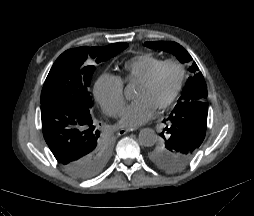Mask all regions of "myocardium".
I'll list each match as a JSON object with an SVG mask.
<instances>
[{
	"label": "myocardium",
	"instance_id": "obj_1",
	"mask_svg": "<svg viewBox=\"0 0 254 216\" xmlns=\"http://www.w3.org/2000/svg\"><path fill=\"white\" fill-rule=\"evenodd\" d=\"M167 66L176 67V69L178 71V78H177V82H176V85L174 87L172 94L165 102H163L162 104H160L157 107L158 110H164V109L168 108L169 106H171L174 103V101L176 100L177 96L179 95L180 90L182 88L183 81H184V77H185V67H184L183 63L179 60H176V59L164 60L160 65H158L148 75V77H146L143 81H141L139 83L140 86H144V87H149V86L153 85V83L156 81L160 72Z\"/></svg>",
	"mask_w": 254,
	"mask_h": 216
}]
</instances>
